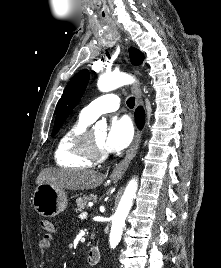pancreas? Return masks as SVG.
<instances>
[{"instance_id": "1", "label": "pancreas", "mask_w": 221, "mask_h": 268, "mask_svg": "<svg viewBox=\"0 0 221 268\" xmlns=\"http://www.w3.org/2000/svg\"><path fill=\"white\" fill-rule=\"evenodd\" d=\"M95 199H96L95 195H89V196L83 195L82 197H79L76 200L77 210L84 209L89 201H94Z\"/></svg>"}]
</instances>
